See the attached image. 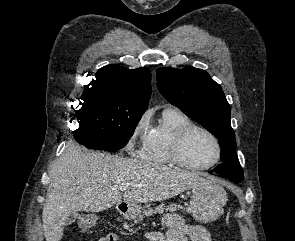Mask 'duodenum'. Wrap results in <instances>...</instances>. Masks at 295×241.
Listing matches in <instances>:
<instances>
[{
    "mask_svg": "<svg viewBox=\"0 0 295 241\" xmlns=\"http://www.w3.org/2000/svg\"><path fill=\"white\" fill-rule=\"evenodd\" d=\"M118 207H119V209L122 210V211L125 210V207H124V204H123V203H120V204L118 205Z\"/></svg>",
    "mask_w": 295,
    "mask_h": 241,
    "instance_id": "duodenum-1",
    "label": "duodenum"
}]
</instances>
